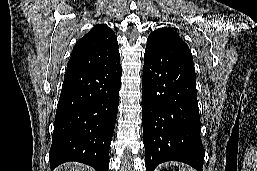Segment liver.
<instances>
[{"label":"liver","instance_id":"obj_1","mask_svg":"<svg viewBox=\"0 0 257 171\" xmlns=\"http://www.w3.org/2000/svg\"><path fill=\"white\" fill-rule=\"evenodd\" d=\"M55 171H89L85 165L79 163H66Z\"/></svg>","mask_w":257,"mask_h":171}]
</instances>
